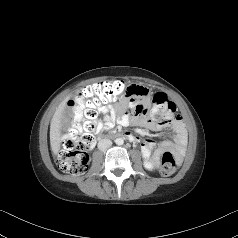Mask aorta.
I'll return each mask as SVG.
<instances>
[{
  "label": "aorta",
  "instance_id": "762f6f07",
  "mask_svg": "<svg viewBox=\"0 0 238 238\" xmlns=\"http://www.w3.org/2000/svg\"><path fill=\"white\" fill-rule=\"evenodd\" d=\"M115 143H116L117 145H122V144L124 143V140H123L122 138H117V139L115 140Z\"/></svg>",
  "mask_w": 238,
  "mask_h": 238
}]
</instances>
